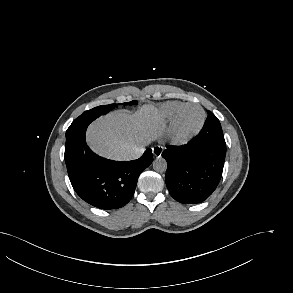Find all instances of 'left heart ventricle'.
<instances>
[{
  "mask_svg": "<svg viewBox=\"0 0 293 293\" xmlns=\"http://www.w3.org/2000/svg\"><path fill=\"white\" fill-rule=\"evenodd\" d=\"M201 111L197 107H188L184 109L179 118V131L181 133H188L201 121Z\"/></svg>",
  "mask_w": 293,
  "mask_h": 293,
  "instance_id": "obj_1",
  "label": "left heart ventricle"
}]
</instances>
